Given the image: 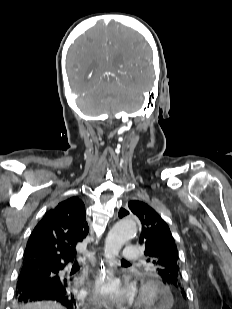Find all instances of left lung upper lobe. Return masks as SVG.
<instances>
[{
  "label": "left lung upper lobe",
  "mask_w": 232,
  "mask_h": 309,
  "mask_svg": "<svg viewBox=\"0 0 232 309\" xmlns=\"http://www.w3.org/2000/svg\"><path fill=\"white\" fill-rule=\"evenodd\" d=\"M130 213L141 221L139 244L145 248L147 262L154 265L165 284L178 288L181 281L179 255L168 225L153 208L141 201H129L127 209H120L119 217Z\"/></svg>",
  "instance_id": "obj_1"
}]
</instances>
